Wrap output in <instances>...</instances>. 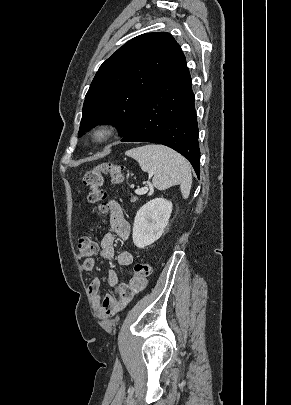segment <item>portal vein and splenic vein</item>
Instances as JSON below:
<instances>
[{
  "label": "portal vein and splenic vein",
  "instance_id": "1",
  "mask_svg": "<svg viewBox=\"0 0 291 405\" xmlns=\"http://www.w3.org/2000/svg\"><path fill=\"white\" fill-rule=\"evenodd\" d=\"M147 192H148V187H143V188L135 190V193L138 195H143V194H146Z\"/></svg>",
  "mask_w": 291,
  "mask_h": 405
}]
</instances>
